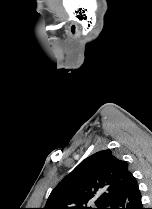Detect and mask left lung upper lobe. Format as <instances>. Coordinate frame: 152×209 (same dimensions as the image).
Segmentation results:
<instances>
[{"label":"left lung upper lobe","instance_id":"obj_1","mask_svg":"<svg viewBox=\"0 0 152 209\" xmlns=\"http://www.w3.org/2000/svg\"><path fill=\"white\" fill-rule=\"evenodd\" d=\"M132 174L128 164L99 151L83 160L51 192L44 209H107L121 194Z\"/></svg>","mask_w":152,"mask_h":209}]
</instances>
